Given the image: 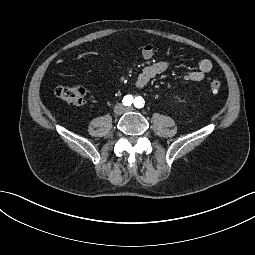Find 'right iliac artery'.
Here are the masks:
<instances>
[{
  "mask_svg": "<svg viewBox=\"0 0 255 255\" xmlns=\"http://www.w3.org/2000/svg\"><path fill=\"white\" fill-rule=\"evenodd\" d=\"M133 103V97L128 95L123 99V104L125 106H130Z\"/></svg>",
  "mask_w": 255,
  "mask_h": 255,
  "instance_id": "right-iliac-artery-1",
  "label": "right iliac artery"
}]
</instances>
